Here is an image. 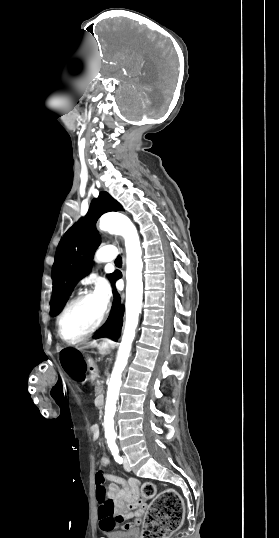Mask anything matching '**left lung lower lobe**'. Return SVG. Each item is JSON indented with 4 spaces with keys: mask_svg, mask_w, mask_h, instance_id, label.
<instances>
[{
    "mask_svg": "<svg viewBox=\"0 0 279 538\" xmlns=\"http://www.w3.org/2000/svg\"><path fill=\"white\" fill-rule=\"evenodd\" d=\"M117 279V277H116ZM124 307L120 305V296L115 292V301L111 313L101 329L95 334L94 338H102L105 336H120L121 327L123 324Z\"/></svg>",
    "mask_w": 279,
    "mask_h": 538,
    "instance_id": "left-lung-lower-lobe-1",
    "label": "left lung lower lobe"
}]
</instances>
